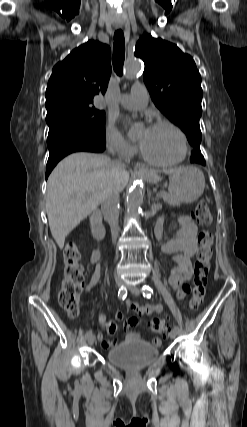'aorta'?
I'll return each instance as SVG.
<instances>
[{"mask_svg": "<svg viewBox=\"0 0 247 427\" xmlns=\"http://www.w3.org/2000/svg\"><path fill=\"white\" fill-rule=\"evenodd\" d=\"M141 69L142 65L140 60L136 58L128 59L125 65V77L127 79H133L138 75ZM135 131V125L131 124L129 126V134L132 135ZM143 198L144 192L142 187L139 183H134L127 195V209L130 216L136 217L139 214L143 204Z\"/></svg>", "mask_w": 247, "mask_h": 427, "instance_id": "762f6f07", "label": "aorta"}]
</instances>
